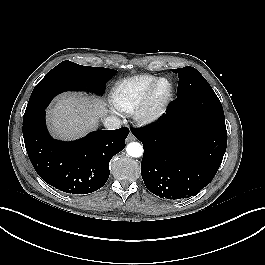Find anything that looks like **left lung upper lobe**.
Wrapping results in <instances>:
<instances>
[{
  "label": "left lung upper lobe",
  "mask_w": 265,
  "mask_h": 265,
  "mask_svg": "<svg viewBox=\"0 0 265 265\" xmlns=\"http://www.w3.org/2000/svg\"><path fill=\"white\" fill-rule=\"evenodd\" d=\"M178 73L177 100L173 102L176 112H195L224 118V112L217 95L206 79L193 67L173 69Z\"/></svg>",
  "instance_id": "5c2ea615"
}]
</instances>
